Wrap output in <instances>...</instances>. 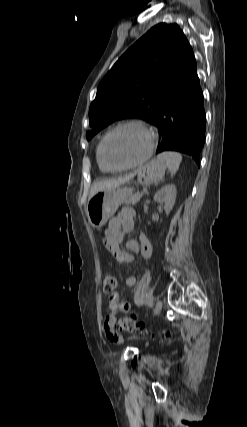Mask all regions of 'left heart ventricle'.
I'll return each mask as SVG.
<instances>
[{
  "label": "left heart ventricle",
  "instance_id": "left-heart-ventricle-1",
  "mask_svg": "<svg viewBox=\"0 0 247 427\" xmlns=\"http://www.w3.org/2000/svg\"><path fill=\"white\" fill-rule=\"evenodd\" d=\"M148 134L137 127H125L107 141L105 154L112 166H124L139 160L149 146Z\"/></svg>",
  "mask_w": 247,
  "mask_h": 427
}]
</instances>
